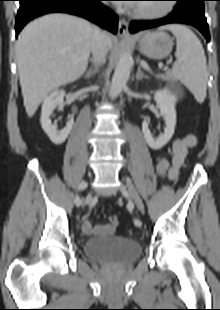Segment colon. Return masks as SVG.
<instances>
[{
	"label": "colon",
	"instance_id": "1",
	"mask_svg": "<svg viewBox=\"0 0 220 310\" xmlns=\"http://www.w3.org/2000/svg\"><path fill=\"white\" fill-rule=\"evenodd\" d=\"M109 220H110V223L113 225V226H116L117 224H118V222H119V220H118V217L117 216H111L110 218H109Z\"/></svg>",
	"mask_w": 220,
	"mask_h": 310
}]
</instances>
